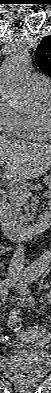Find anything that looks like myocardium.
<instances>
[{
	"label": "myocardium",
	"mask_w": 51,
	"mask_h": 393,
	"mask_svg": "<svg viewBox=\"0 0 51 393\" xmlns=\"http://www.w3.org/2000/svg\"><path fill=\"white\" fill-rule=\"evenodd\" d=\"M38 119L42 129L49 136L51 134V100L44 102L38 113Z\"/></svg>",
	"instance_id": "obj_1"
}]
</instances>
